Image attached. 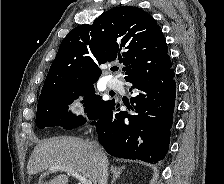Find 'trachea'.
I'll return each instance as SVG.
<instances>
[{
    "label": "trachea",
    "mask_w": 224,
    "mask_h": 184,
    "mask_svg": "<svg viewBox=\"0 0 224 184\" xmlns=\"http://www.w3.org/2000/svg\"><path fill=\"white\" fill-rule=\"evenodd\" d=\"M113 70H114V71H117V70H118V68L116 67V68H114Z\"/></svg>",
    "instance_id": "obj_1"
}]
</instances>
